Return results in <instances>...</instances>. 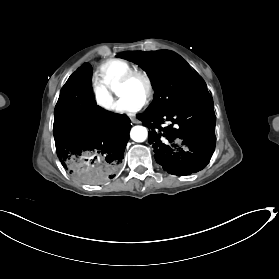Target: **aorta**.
I'll return each instance as SVG.
<instances>
[{
  "instance_id": "762f6f07",
  "label": "aorta",
  "mask_w": 279,
  "mask_h": 279,
  "mask_svg": "<svg viewBox=\"0 0 279 279\" xmlns=\"http://www.w3.org/2000/svg\"><path fill=\"white\" fill-rule=\"evenodd\" d=\"M130 137L135 142H144L148 137V131L144 126H134L130 131Z\"/></svg>"
}]
</instances>
